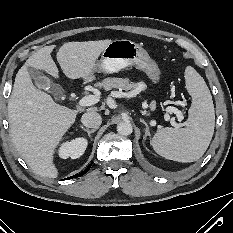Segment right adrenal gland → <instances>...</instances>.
Returning a JSON list of instances; mask_svg holds the SVG:
<instances>
[{
	"mask_svg": "<svg viewBox=\"0 0 233 233\" xmlns=\"http://www.w3.org/2000/svg\"><path fill=\"white\" fill-rule=\"evenodd\" d=\"M80 128H81L82 130H84L85 132H87L88 137H91V133H93V132L96 131V129L89 130V129L83 127L82 125L80 126Z\"/></svg>",
	"mask_w": 233,
	"mask_h": 233,
	"instance_id": "2a0ac1e0",
	"label": "right adrenal gland"
}]
</instances>
